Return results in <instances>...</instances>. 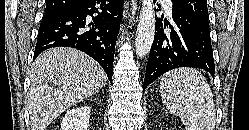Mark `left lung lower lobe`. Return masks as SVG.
I'll use <instances>...</instances> for the list:
<instances>
[{
    "label": "left lung lower lobe",
    "instance_id": "1",
    "mask_svg": "<svg viewBox=\"0 0 249 130\" xmlns=\"http://www.w3.org/2000/svg\"><path fill=\"white\" fill-rule=\"evenodd\" d=\"M166 26L170 30L166 31ZM178 67L201 68L212 75L215 73L208 20L173 5L171 24L165 22L163 27L162 19H157L143 89L165 72Z\"/></svg>",
    "mask_w": 249,
    "mask_h": 130
}]
</instances>
